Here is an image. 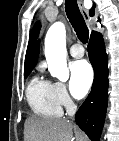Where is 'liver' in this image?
Here are the masks:
<instances>
[{
	"instance_id": "obj_1",
	"label": "liver",
	"mask_w": 119,
	"mask_h": 141,
	"mask_svg": "<svg viewBox=\"0 0 119 141\" xmlns=\"http://www.w3.org/2000/svg\"><path fill=\"white\" fill-rule=\"evenodd\" d=\"M26 141H70L73 130L77 139L86 137L66 119L29 117L25 121Z\"/></svg>"
}]
</instances>
